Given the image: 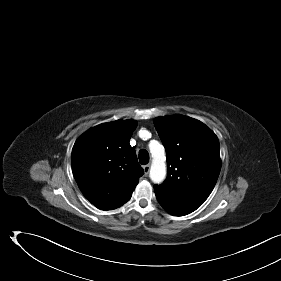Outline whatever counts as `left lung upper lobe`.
<instances>
[{
    "mask_svg": "<svg viewBox=\"0 0 281 281\" xmlns=\"http://www.w3.org/2000/svg\"><path fill=\"white\" fill-rule=\"evenodd\" d=\"M166 149L168 176L156 192L182 193L203 203L213 190L221 169L217 136L199 120L171 115L154 120Z\"/></svg>",
    "mask_w": 281,
    "mask_h": 281,
    "instance_id": "left-lung-upper-lobe-1",
    "label": "left lung upper lobe"
}]
</instances>
